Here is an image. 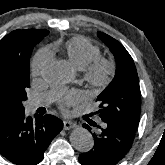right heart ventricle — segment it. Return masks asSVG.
Returning <instances> with one entry per match:
<instances>
[{
  "instance_id": "1",
  "label": "right heart ventricle",
  "mask_w": 165,
  "mask_h": 165,
  "mask_svg": "<svg viewBox=\"0 0 165 165\" xmlns=\"http://www.w3.org/2000/svg\"><path fill=\"white\" fill-rule=\"evenodd\" d=\"M57 48L64 52L67 61L77 69H84L100 55L99 47L83 36H74L60 43Z\"/></svg>"
}]
</instances>
